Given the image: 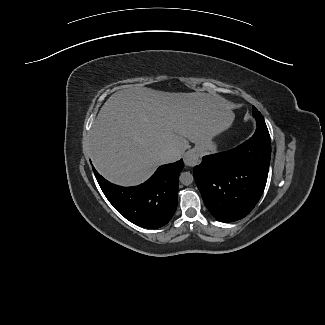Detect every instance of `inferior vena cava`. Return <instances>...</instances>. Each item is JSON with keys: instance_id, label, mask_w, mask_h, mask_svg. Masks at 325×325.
I'll return each mask as SVG.
<instances>
[{"instance_id": "obj_1", "label": "inferior vena cava", "mask_w": 325, "mask_h": 325, "mask_svg": "<svg viewBox=\"0 0 325 325\" xmlns=\"http://www.w3.org/2000/svg\"><path fill=\"white\" fill-rule=\"evenodd\" d=\"M161 158L164 162H172L176 159V154L172 149H164L161 152Z\"/></svg>"}]
</instances>
